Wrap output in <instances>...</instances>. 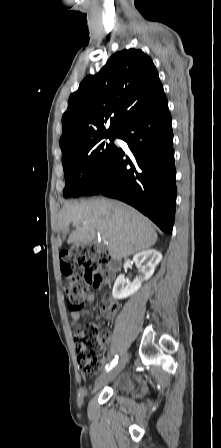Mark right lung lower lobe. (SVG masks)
Masks as SVG:
<instances>
[{
    "label": "right lung lower lobe",
    "instance_id": "1",
    "mask_svg": "<svg viewBox=\"0 0 221 448\" xmlns=\"http://www.w3.org/2000/svg\"><path fill=\"white\" fill-rule=\"evenodd\" d=\"M118 138L127 142L129 156L118 148L83 195L102 194L141 211L165 233H172L176 207V170L168 102L161 97L131 117Z\"/></svg>",
    "mask_w": 221,
    "mask_h": 448
}]
</instances>
